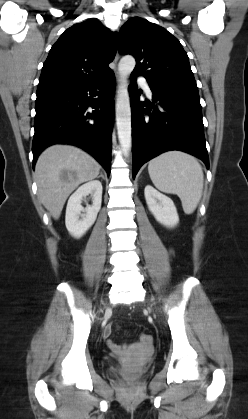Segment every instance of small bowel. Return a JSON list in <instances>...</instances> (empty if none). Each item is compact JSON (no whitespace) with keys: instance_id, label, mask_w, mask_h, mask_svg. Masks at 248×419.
I'll list each match as a JSON object with an SVG mask.
<instances>
[{"instance_id":"small-bowel-1","label":"small bowel","mask_w":248,"mask_h":419,"mask_svg":"<svg viewBox=\"0 0 248 419\" xmlns=\"http://www.w3.org/2000/svg\"><path fill=\"white\" fill-rule=\"evenodd\" d=\"M111 331H112V329H111V327H108V328H106V330H105V333H106V335H110L111 334ZM109 346H110V348L116 353V354H120L121 353V346L120 345H118V344H116V343H113V342H111V341H109Z\"/></svg>"}]
</instances>
